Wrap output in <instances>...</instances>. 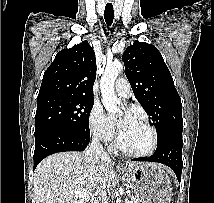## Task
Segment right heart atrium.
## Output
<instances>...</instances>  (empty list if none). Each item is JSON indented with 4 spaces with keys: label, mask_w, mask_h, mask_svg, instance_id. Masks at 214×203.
<instances>
[{
    "label": "right heart atrium",
    "mask_w": 214,
    "mask_h": 203,
    "mask_svg": "<svg viewBox=\"0 0 214 203\" xmlns=\"http://www.w3.org/2000/svg\"><path fill=\"white\" fill-rule=\"evenodd\" d=\"M88 125L91 134L100 141L110 143L115 137V128L99 104L92 106Z\"/></svg>",
    "instance_id": "right-heart-atrium-1"
}]
</instances>
